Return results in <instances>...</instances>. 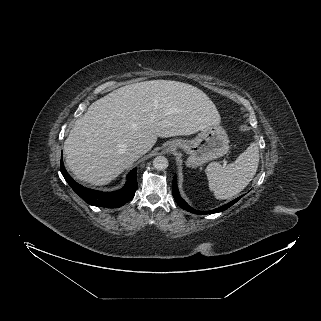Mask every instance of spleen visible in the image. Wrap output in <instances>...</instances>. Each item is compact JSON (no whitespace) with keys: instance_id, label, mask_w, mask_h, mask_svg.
I'll return each instance as SVG.
<instances>
[{"instance_id":"3e777b00","label":"spleen","mask_w":321,"mask_h":321,"mask_svg":"<svg viewBox=\"0 0 321 321\" xmlns=\"http://www.w3.org/2000/svg\"><path fill=\"white\" fill-rule=\"evenodd\" d=\"M259 163L258 145L253 142L235 162L227 166L212 162L206 167L209 189L217 199H228L241 192L253 179Z\"/></svg>"}]
</instances>
